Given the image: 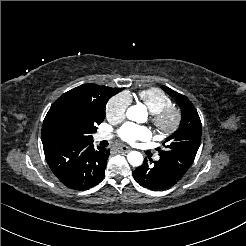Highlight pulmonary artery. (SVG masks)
I'll return each mask as SVG.
<instances>
[{
    "mask_svg": "<svg viewBox=\"0 0 246 246\" xmlns=\"http://www.w3.org/2000/svg\"><path fill=\"white\" fill-rule=\"evenodd\" d=\"M96 138L98 141L106 140V139L111 138V134L109 132H100Z\"/></svg>",
    "mask_w": 246,
    "mask_h": 246,
    "instance_id": "1",
    "label": "pulmonary artery"
}]
</instances>
